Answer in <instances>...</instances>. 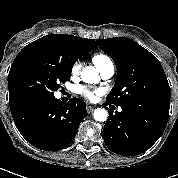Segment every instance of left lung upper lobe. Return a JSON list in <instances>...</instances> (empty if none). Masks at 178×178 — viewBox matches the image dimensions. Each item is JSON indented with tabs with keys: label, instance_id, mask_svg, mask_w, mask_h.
Listing matches in <instances>:
<instances>
[{
	"label": "left lung upper lobe",
	"instance_id": "obj_1",
	"mask_svg": "<svg viewBox=\"0 0 178 178\" xmlns=\"http://www.w3.org/2000/svg\"><path fill=\"white\" fill-rule=\"evenodd\" d=\"M96 42L117 67L115 85L107 102L169 116L170 87L159 60L129 38L97 39Z\"/></svg>",
	"mask_w": 178,
	"mask_h": 178
}]
</instances>
